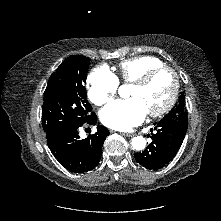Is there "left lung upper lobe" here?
Returning a JSON list of instances; mask_svg holds the SVG:
<instances>
[{"instance_id": "5c2ea615", "label": "left lung upper lobe", "mask_w": 221, "mask_h": 221, "mask_svg": "<svg viewBox=\"0 0 221 221\" xmlns=\"http://www.w3.org/2000/svg\"><path fill=\"white\" fill-rule=\"evenodd\" d=\"M184 102H185L184 92H181L178 103L171 109V111L168 114H166L163 117V119L181 120L183 122H186L187 125L188 124L187 112L185 110Z\"/></svg>"}]
</instances>
